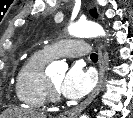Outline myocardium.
Wrapping results in <instances>:
<instances>
[{
	"label": "myocardium",
	"instance_id": "myocardium-1",
	"mask_svg": "<svg viewBox=\"0 0 133 118\" xmlns=\"http://www.w3.org/2000/svg\"><path fill=\"white\" fill-rule=\"evenodd\" d=\"M47 91H48V100L54 103H58L61 101L58 89L53 84L50 78H47Z\"/></svg>",
	"mask_w": 133,
	"mask_h": 118
}]
</instances>
